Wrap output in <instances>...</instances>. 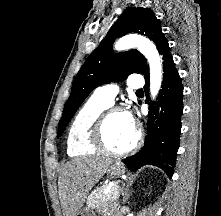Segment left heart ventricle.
I'll use <instances>...</instances> for the list:
<instances>
[{
	"label": "left heart ventricle",
	"instance_id": "obj_1",
	"mask_svg": "<svg viewBox=\"0 0 221 216\" xmlns=\"http://www.w3.org/2000/svg\"><path fill=\"white\" fill-rule=\"evenodd\" d=\"M134 138L135 127L129 124L125 113H116L109 118L105 127V141L110 148L125 149Z\"/></svg>",
	"mask_w": 221,
	"mask_h": 216
}]
</instances>
